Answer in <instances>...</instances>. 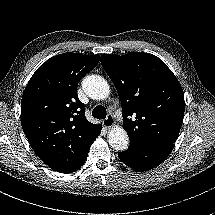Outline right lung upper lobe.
<instances>
[{
    "label": "right lung upper lobe",
    "mask_w": 215,
    "mask_h": 215,
    "mask_svg": "<svg viewBox=\"0 0 215 215\" xmlns=\"http://www.w3.org/2000/svg\"><path fill=\"white\" fill-rule=\"evenodd\" d=\"M99 57L72 52L56 55L35 71L24 90L22 128L37 156L49 167L64 171L83 157L97 125L86 119L77 85Z\"/></svg>",
    "instance_id": "obj_1"
}]
</instances>
